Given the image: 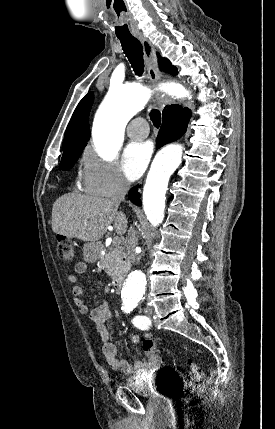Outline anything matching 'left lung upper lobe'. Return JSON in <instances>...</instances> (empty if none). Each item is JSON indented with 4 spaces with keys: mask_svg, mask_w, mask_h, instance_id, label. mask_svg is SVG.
I'll list each match as a JSON object with an SVG mask.
<instances>
[{
    "mask_svg": "<svg viewBox=\"0 0 275 429\" xmlns=\"http://www.w3.org/2000/svg\"><path fill=\"white\" fill-rule=\"evenodd\" d=\"M163 67L172 75L177 74V69L171 65V63L167 59H163Z\"/></svg>",
    "mask_w": 275,
    "mask_h": 429,
    "instance_id": "obj_1",
    "label": "left lung upper lobe"
}]
</instances>
